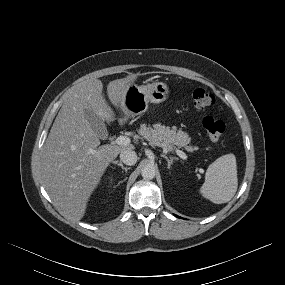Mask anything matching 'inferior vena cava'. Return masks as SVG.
I'll list each match as a JSON object with an SVG mask.
<instances>
[{
	"label": "inferior vena cava",
	"mask_w": 285,
	"mask_h": 285,
	"mask_svg": "<svg viewBox=\"0 0 285 285\" xmlns=\"http://www.w3.org/2000/svg\"><path fill=\"white\" fill-rule=\"evenodd\" d=\"M121 161L126 165H134L137 160V154L133 150H124L120 153Z\"/></svg>",
	"instance_id": "602c4592"
}]
</instances>
